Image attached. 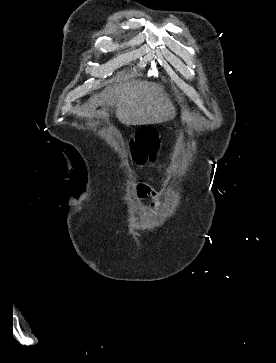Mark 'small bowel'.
Listing matches in <instances>:
<instances>
[{
	"label": "small bowel",
	"instance_id": "c3829d8e",
	"mask_svg": "<svg viewBox=\"0 0 276 363\" xmlns=\"http://www.w3.org/2000/svg\"><path fill=\"white\" fill-rule=\"evenodd\" d=\"M152 179V178H150ZM138 196L141 199L151 198L156 200L158 193L147 183H140L137 187Z\"/></svg>",
	"mask_w": 276,
	"mask_h": 363
}]
</instances>
